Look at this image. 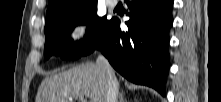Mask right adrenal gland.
I'll return each mask as SVG.
<instances>
[{"instance_id": "obj_1", "label": "right adrenal gland", "mask_w": 221, "mask_h": 102, "mask_svg": "<svg viewBox=\"0 0 221 102\" xmlns=\"http://www.w3.org/2000/svg\"><path fill=\"white\" fill-rule=\"evenodd\" d=\"M119 102H127V100L124 99L123 92H121L120 95H119Z\"/></svg>"}]
</instances>
